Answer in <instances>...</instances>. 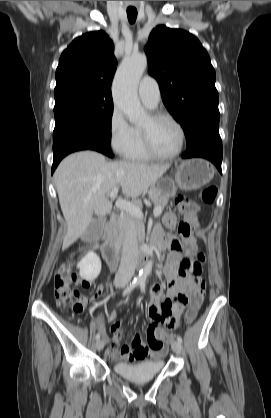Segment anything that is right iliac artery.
Returning <instances> with one entry per match:
<instances>
[{"instance_id":"1","label":"right iliac artery","mask_w":271,"mask_h":418,"mask_svg":"<svg viewBox=\"0 0 271 418\" xmlns=\"http://www.w3.org/2000/svg\"><path fill=\"white\" fill-rule=\"evenodd\" d=\"M139 280H134L132 283H130L127 288L124 290L123 295H127L129 292H131L137 285H139ZM100 339V333L96 334V340Z\"/></svg>"}]
</instances>
